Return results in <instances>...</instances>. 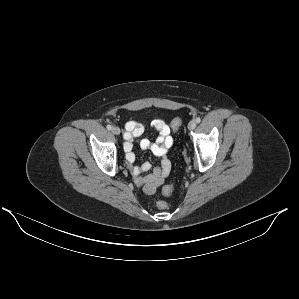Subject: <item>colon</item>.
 I'll return each instance as SVG.
<instances>
[{"instance_id": "1", "label": "colon", "mask_w": 299, "mask_h": 299, "mask_svg": "<svg viewBox=\"0 0 299 299\" xmlns=\"http://www.w3.org/2000/svg\"><path fill=\"white\" fill-rule=\"evenodd\" d=\"M180 125H181V119L180 118H175L171 122V127L174 130H177ZM162 192L165 196H170L173 193V186H171V185L165 186L163 188ZM156 207L160 210H166V209H168L169 205L166 201L159 200V201L156 202Z\"/></svg>"}]
</instances>
